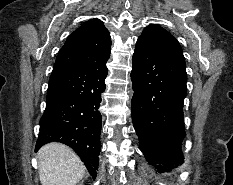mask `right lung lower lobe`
Returning <instances> with one entry per match:
<instances>
[{
    "mask_svg": "<svg viewBox=\"0 0 233 185\" xmlns=\"http://www.w3.org/2000/svg\"><path fill=\"white\" fill-rule=\"evenodd\" d=\"M107 73L105 64L53 71L36 144V151L51 141L70 146L93 178L101 150V114L98 109Z\"/></svg>",
    "mask_w": 233,
    "mask_h": 185,
    "instance_id": "1",
    "label": "right lung lower lobe"
}]
</instances>
